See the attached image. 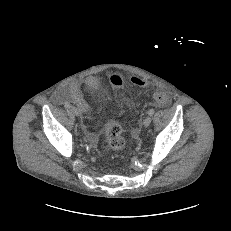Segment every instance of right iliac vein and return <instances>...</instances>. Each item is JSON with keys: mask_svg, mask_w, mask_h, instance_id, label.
<instances>
[{"mask_svg": "<svg viewBox=\"0 0 231 231\" xmlns=\"http://www.w3.org/2000/svg\"><path fill=\"white\" fill-rule=\"evenodd\" d=\"M70 111L75 115V116H80V111L78 110V108H76L75 106H72L70 108Z\"/></svg>", "mask_w": 231, "mask_h": 231, "instance_id": "right-iliac-vein-1", "label": "right iliac vein"}]
</instances>
